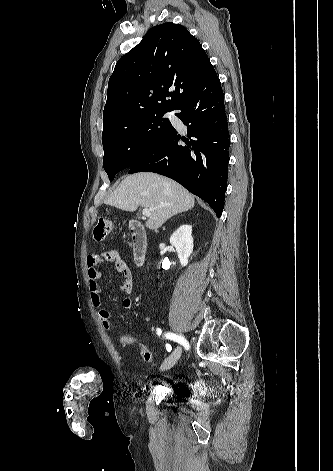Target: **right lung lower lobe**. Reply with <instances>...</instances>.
Listing matches in <instances>:
<instances>
[{"label":"right lung lower lobe","instance_id":"obj_1","mask_svg":"<svg viewBox=\"0 0 333 471\" xmlns=\"http://www.w3.org/2000/svg\"><path fill=\"white\" fill-rule=\"evenodd\" d=\"M176 109L179 112L175 115L188 127L190 140L172 126L128 173L148 171L174 179L206 201L220 217L227 186L230 136L217 74Z\"/></svg>","mask_w":333,"mask_h":471}]
</instances>
